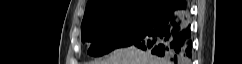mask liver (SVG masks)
<instances>
[{"instance_id":"liver-1","label":"liver","mask_w":242,"mask_h":64,"mask_svg":"<svg viewBox=\"0 0 242 64\" xmlns=\"http://www.w3.org/2000/svg\"><path fill=\"white\" fill-rule=\"evenodd\" d=\"M164 60L135 47L113 51L105 59H96L89 64H164Z\"/></svg>"}]
</instances>
